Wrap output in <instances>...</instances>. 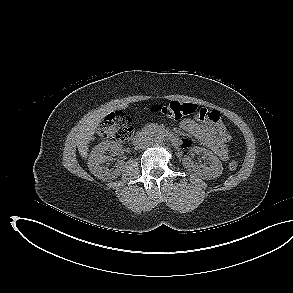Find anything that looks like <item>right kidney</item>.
Listing matches in <instances>:
<instances>
[{"label":"right kidney","mask_w":293,"mask_h":293,"mask_svg":"<svg viewBox=\"0 0 293 293\" xmlns=\"http://www.w3.org/2000/svg\"><path fill=\"white\" fill-rule=\"evenodd\" d=\"M121 149V145L115 141L101 142L96 145L89 156L88 167L90 172L101 180L115 179L120 175L123 167V162L119 161L114 170H109L106 166L111 160V156H106V151L117 154Z\"/></svg>","instance_id":"obj_1"}]
</instances>
